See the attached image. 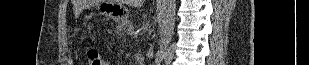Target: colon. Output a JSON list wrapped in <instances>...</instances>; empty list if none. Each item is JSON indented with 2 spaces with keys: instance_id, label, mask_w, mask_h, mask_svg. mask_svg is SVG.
<instances>
[{
  "instance_id": "colon-1",
  "label": "colon",
  "mask_w": 309,
  "mask_h": 65,
  "mask_svg": "<svg viewBox=\"0 0 309 65\" xmlns=\"http://www.w3.org/2000/svg\"><path fill=\"white\" fill-rule=\"evenodd\" d=\"M84 56L87 65H103L104 60L93 47H86Z\"/></svg>"
}]
</instances>
